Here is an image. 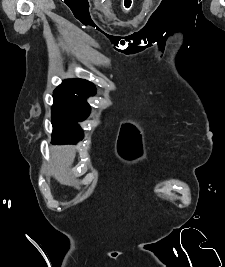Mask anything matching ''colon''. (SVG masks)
<instances>
[{
    "label": "colon",
    "instance_id": "5ec220e1",
    "mask_svg": "<svg viewBox=\"0 0 225 267\" xmlns=\"http://www.w3.org/2000/svg\"><path fill=\"white\" fill-rule=\"evenodd\" d=\"M130 7H131V0L128 3H125L124 2V8H125V10H129Z\"/></svg>",
    "mask_w": 225,
    "mask_h": 267
}]
</instances>
